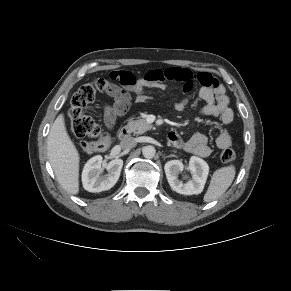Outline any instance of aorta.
<instances>
[{"instance_id": "obj_1", "label": "aorta", "mask_w": 291, "mask_h": 291, "mask_svg": "<svg viewBox=\"0 0 291 291\" xmlns=\"http://www.w3.org/2000/svg\"><path fill=\"white\" fill-rule=\"evenodd\" d=\"M142 153L145 158L151 159L155 156L156 150L153 146L148 145L142 149Z\"/></svg>"}]
</instances>
